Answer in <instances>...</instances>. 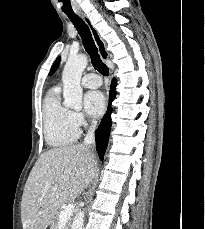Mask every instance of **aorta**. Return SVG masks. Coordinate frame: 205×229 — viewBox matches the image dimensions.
Segmentation results:
<instances>
[{
	"instance_id": "obj_1",
	"label": "aorta",
	"mask_w": 205,
	"mask_h": 229,
	"mask_svg": "<svg viewBox=\"0 0 205 229\" xmlns=\"http://www.w3.org/2000/svg\"><path fill=\"white\" fill-rule=\"evenodd\" d=\"M88 64L86 55L70 56L62 73L63 97L66 107L80 110L82 108L83 90L80 84L81 76ZM84 211H79L74 217L71 229H82Z\"/></svg>"
}]
</instances>
